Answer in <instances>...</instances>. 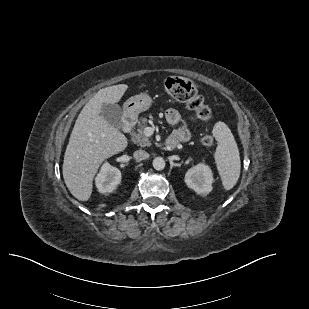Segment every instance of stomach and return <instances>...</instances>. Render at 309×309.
I'll return each mask as SVG.
<instances>
[{"mask_svg": "<svg viewBox=\"0 0 309 309\" xmlns=\"http://www.w3.org/2000/svg\"><path fill=\"white\" fill-rule=\"evenodd\" d=\"M151 104V97L147 93H141L129 98L123 107L127 116L137 117L141 112L148 110Z\"/></svg>", "mask_w": 309, "mask_h": 309, "instance_id": "stomach-1", "label": "stomach"}]
</instances>
